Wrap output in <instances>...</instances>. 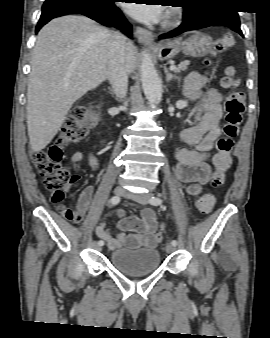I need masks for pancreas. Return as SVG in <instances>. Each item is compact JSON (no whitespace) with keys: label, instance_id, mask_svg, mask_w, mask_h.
I'll use <instances>...</instances> for the list:
<instances>
[{"label":"pancreas","instance_id":"obj_1","mask_svg":"<svg viewBox=\"0 0 270 338\" xmlns=\"http://www.w3.org/2000/svg\"><path fill=\"white\" fill-rule=\"evenodd\" d=\"M187 62H182L179 64V66L174 70L175 73H180L181 71H184L187 69Z\"/></svg>","mask_w":270,"mask_h":338}]
</instances>
